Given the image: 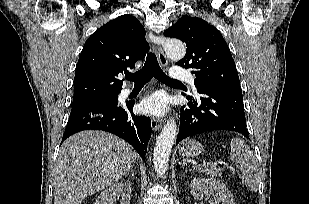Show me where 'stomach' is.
Here are the masks:
<instances>
[{"instance_id": "obj_1", "label": "stomach", "mask_w": 309, "mask_h": 204, "mask_svg": "<svg viewBox=\"0 0 309 204\" xmlns=\"http://www.w3.org/2000/svg\"><path fill=\"white\" fill-rule=\"evenodd\" d=\"M178 150L182 156L196 157L203 152L204 147L194 139H186L179 145Z\"/></svg>"}]
</instances>
